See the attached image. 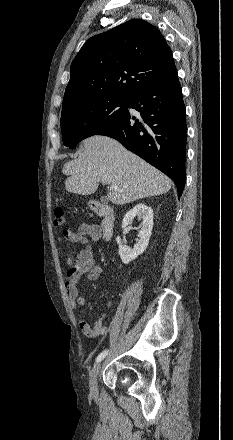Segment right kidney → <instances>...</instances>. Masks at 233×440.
Instances as JSON below:
<instances>
[{
    "label": "right kidney",
    "mask_w": 233,
    "mask_h": 440,
    "mask_svg": "<svg viewBox=\"0 0 233 440\" xmlns=\"http://www.w3.org/2000/svg\"><path fill=\"white\" fill-rule=\"evenodd\" d=\"M135 217H138V220H142V228L138 234L140 240L138 243L134 245V248L131 249L129 247L123 246L121 243V238L119 236H117L116 238V242L119 245L118 253L124 264H129L131 261L136 259L146 250L149 244V239L152 234V228H153L152 208L148 207L143 203L137 204L124 216L122 221V228L131 225Z\"/></svg>",
    "instance_id": "obj_1"
}]
</instances>
